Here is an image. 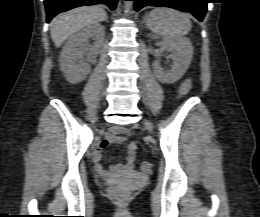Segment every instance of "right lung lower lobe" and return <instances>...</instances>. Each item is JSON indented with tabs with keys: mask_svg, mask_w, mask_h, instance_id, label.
I'll list each match as a JSON object with an SVG mask.
<instances>
[{
	"mask_svg": "<svg viewBox=\"0 0 260 217\" xmlns=\"http://www.w3.org/2000/svg\"><path fill=\"white\" fill-rule=\"evenodd\" d=\"M118 0H44L47 22L60 12H65L75 7L95 4H105L114 10Z\"/></svg>",
	"mask_w": 260,
	"mask_h": 217,
	"instance_id": "obj_1",
	"label": "right lung lower lobe"
}]
</instances>
